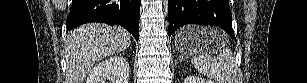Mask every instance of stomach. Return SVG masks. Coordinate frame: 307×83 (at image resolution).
Wrapping results in <instances>:
<instances>
[{
    "label": "stomach",
    "mask_w": 307,
    "mask_h": 83,
    "mask_svg": "<svg viewBox=\"0 0 307 83\" xmlns=\"http://www.w3.org/2000/svg\"><path fill=\"white\" fill-rule=\"evenodd\" d=\"M208 30L210 29L199 26H186L180 29L175 36L176 47L182 54L188 56L199 50L208 55L213 54L227 43V39L212 38Z\"/></svg>",
    "instance_id": "obj_1"
}]
</instances>
